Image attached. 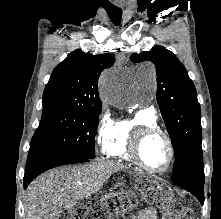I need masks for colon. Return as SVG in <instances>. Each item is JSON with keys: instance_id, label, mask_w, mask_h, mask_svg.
<instances>
[{"instance_id": "1", "label": "colon", "mask_w": 221, "mask_h": 219, "mask_svg": "<svg viewBox=\"0 0 221 219\" xmlns=\"http://www.w3.org/2000/svg\"><path fill=\"white\" fill-rule=\"evenodd\" d=\"M119 195L109 193L98 203L76 207L60 213L56 219H107L112 207L118 203ZM164 219H195L189 208H182L174 214H168Z\"/></svg>"}]
</instances>
